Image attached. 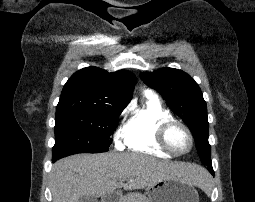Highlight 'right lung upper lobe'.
Wrapping results in <instances>:
<instances>
[{
    "instance_id": "1",
    "label": "right lung upper lobe",
    "mask_w": 255,
    "mask_h": 202,
    "mask_svg": "<svg viewBox=\"0 0 255 202\" xmlns=\"http://www.w3.org/2000/svg\"><path fill=\"white\" fill-rule=\"evenodd\" d=\"M135 84V75L126 70L109 73L98 67L83 68L64 85L56 115L124 109L132 98Z\"/></svg>"
}]
</instances>
